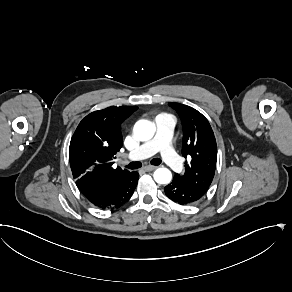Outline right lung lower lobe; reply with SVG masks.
Instances as JSON below:
<instances>
[{
	"label": "right lung lower lobe",
	"mask_w": 292,
	"mask_h": 292,
	"mask_svg": "<svg viewBox=\"0 0 292 292\" xmlns=\"http://www.w3.org/2000/svg\"><path fill=\"white\" fill-rule=\"evenodd\" d=\"M138 172H132L100 198L86 197L92 204L101 209H116L125 204L132 196L137 182Z\"/></svg>",
	"instance_id": "1"
}]
</instances>
